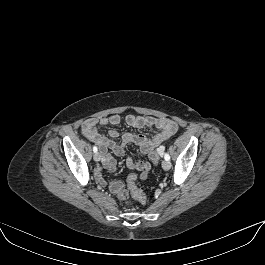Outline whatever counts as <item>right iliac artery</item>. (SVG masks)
<instances>
[{"mask_svg": "<svg viewBox=\"0 0 265 265\" xmlns=\"http://www.w3.org/2000/svg\"><path fill=\"white\" fill-rule=\"evenodd\" d=\"M93 151H94V153H96L98 151L96 146L93 147Z\"/></svg>", "mask_w": 265, "mask_h": 265, "instance_id": "right-iliac-artery-1", "label": "right iliac artery"}]
</instances>
